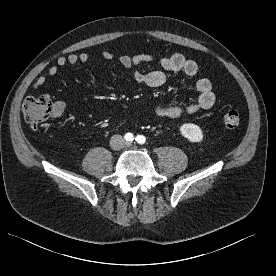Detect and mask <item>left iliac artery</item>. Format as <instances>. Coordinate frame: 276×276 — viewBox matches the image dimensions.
Masks as SVG:
<instances>
[{"label": "left iliac artery", "mask_w": 276, "mask_h": 276, "mask_svg": "<svg viewBox=\"0 0 276 276\" xmlns=\"http://www.w3.org/2000/svg\"><path fill=\"white\" fill-rule=\"evenodd\" d=\"M135 140L139 144H144L146 142V138L143 135H137Z\"/></svg>", "instance_id": "44dca946"}]
</instances>
